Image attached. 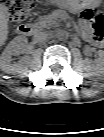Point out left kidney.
<instances>
[{
  "label": "left kidney",
  "mask_w": 104,
  "mask_h": 137,
  "mask_svg": "<svg viewBox=\"0 0 104 137\" xmlns=\"http://www.w3.org/2000/svg\"><path fill=\"white\" fill-rule=\"evenodd\" d=\"M98 54H99V57H98V59L96 60V65H97V68H98L99 70H102V69H103V64H104L103 52H102V51H99Z\"/></svg>",
  "instance_id": "1"
}]
</instances>
